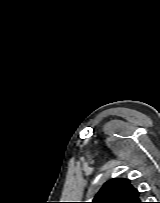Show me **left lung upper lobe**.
Listing matches in <instances>:
<instances>
[{
  "label": "left lung upper lobe",
  "instance_id": "obj_1",
  "mask_svg": "<svg viewBox=\"0 0 160 203\" xmlns=\"http://www.w3.org/2000/svg\"><path fill=\"white\" fill-rule=\"evenodd\" d=\"M139 192L127 179H112L104 184L92 203H142Z\"/></svg>",
  "mask_w": 160,
  "mask_h": 203
}]
</instances>
